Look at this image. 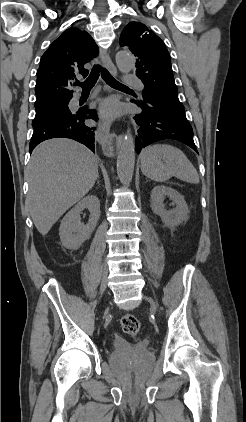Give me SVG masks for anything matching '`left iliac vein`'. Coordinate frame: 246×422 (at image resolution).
Returning <instances> with one entry per match:
<instances>
[{"mask_svg": "<svg viewBox=\"0 0 246 422\" xmlns=\"http://www.w3.org/2000/svg\"><path fill=\"white\" fill-rule=\"evenodd\" d=\"M145 299L151 304V307H152L153 310H156L157 309V304H156V302L152 298L145 297Z\"/></svg>", "mask_w": 246, "mask_h": 422, "instance_id": "1", "label": "left iliac vein"}]
</instances>
